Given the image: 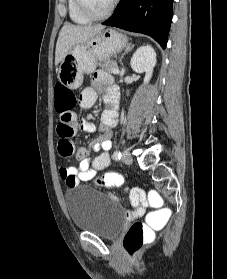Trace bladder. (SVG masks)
<instances>
[{
  "label": "bladder",
  "mask_w": 227,
  "mask_h": 279,
  "mask_svg": "<svg viewBox=\"0 0 227 279\" xmlns=\"http://www.w3.org/2000/svg\"><path fill=\"white\" fill-rule=\"evenodd\" d=\"M64 200L73 226L78 230L114 238L123 229L125 220L120 204L94 188L67 190Z\"/></svg>",
  "instance_id": "bladder-1"
}]
</instances>
